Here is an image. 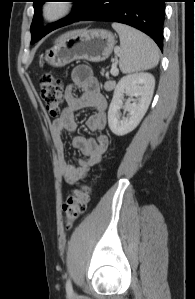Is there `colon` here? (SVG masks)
<instances>
[{
  "label": "colon",
  "instance_id": "5ec220e1",
  "mask_svg": "<svg viewBox=\"0 0 195 299\" xmlns=\"http://www.w3.org/2000/svg\"><path fill=\"white\" fill-rule=\"evenodd\" d=\"M40 96L49 116L53 118L57 117L63 100L62 80L50 73L42 75L40 78ZM90 193L91 186L81 185L74 189L72 194L67 198L63 204L64 225L66 229H70L74 222L84 214Z\"/></svg>",
  "mask_w": 195,
  "mask_h": 299
}]
</instances>
